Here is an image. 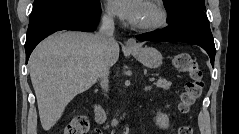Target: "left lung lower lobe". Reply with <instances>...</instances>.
I'll return each mask as SVG.
<instances>
[{
	"label": "left lung lower lobe",
	"mask_w": 239,
	"mask_h": 134,
	"mask_svg": "<svg viewBox=\"0 0 239 134\" xmlns=\"http://www.w3.org/2000/svg\"><path fill=\"white\" fill-rule=\"evenodd\" d=\"M141 41L163 42L178 41L202 47L210 56L214 66L215 45L208 18L204 10L191 9L183 13L178 20L168 27L149 33L136 35Z\"/></svg>",
	"instance_id": "obj_1"
}]
</instances>
